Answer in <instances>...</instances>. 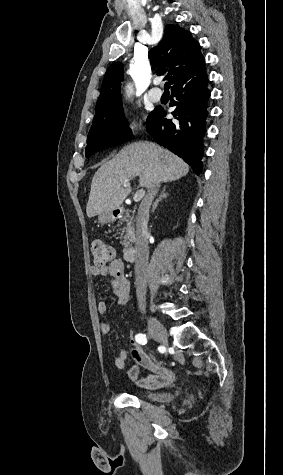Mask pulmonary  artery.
Returning <instances> with one entry per match:
<instances>
[{
	"instance_id": "e3ab8cb5",
	"label": "pulmonary artery",
	"mask_w": 283,
	"mask_h": 475,
	"mask_svg": "<svg viewBox=\"0 0 283 475\" xmlns=\"http://www.w3.org/2000/svg\"><path fill=\"white\" fill-rule=\"evenodd\" d=\"M154 86H158L160 84H153ZM131 90V89H130ZM150 94L152 96H161L163 94V89L161 87H152L150 89ZM153 102H158L160 99L159 98H151Z\"/></svg>"
}]
</instances>
